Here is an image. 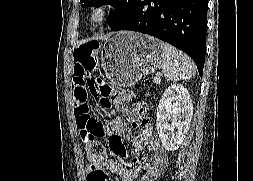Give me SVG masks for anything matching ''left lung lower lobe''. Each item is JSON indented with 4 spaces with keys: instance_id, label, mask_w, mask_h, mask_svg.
Returning <instances> with one entry per match:
<instances>
[{
    "instance_id": "obj_1",
    "label": "left lung lower lobe",
    "mask_w": 253,
    "mask_h": 181,
    "mask_svg": "<svg viewBox=\"0 0 253 181\" xmlns=\"http://www.w3.org/2000/svg\"><path fill=\"white\" fill-rule=\"evenodd\" d=\"M208 0H134L113 31L132 30L159 38L187 53L202 76Z\"/></svg>"
}]
</instances>
